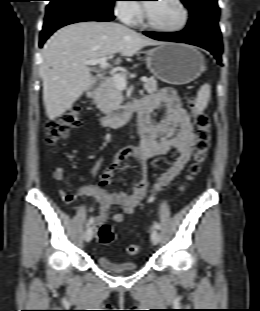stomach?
Segmentation results:
<instances>
[{
    "mask_svg": "<svg viewBox=\"0 0 260 311\" xmlns=\"http://www.w3.org/2000/svg\"><path fill=\"white\" fill-rule=\"evenodd\" d=\"M146 55L150 72L168 84L190 83L205 70L204 56L190 45L163 43L148 50Z\"/></svg>",
    "mask_w": 260,
    "mask_h": 311,
    "instance_id": "1",
    "label": "stomach"
}]
</instances>
